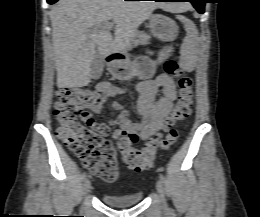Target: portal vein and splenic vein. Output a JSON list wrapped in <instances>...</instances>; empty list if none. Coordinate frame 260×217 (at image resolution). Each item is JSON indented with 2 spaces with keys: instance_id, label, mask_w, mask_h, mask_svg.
I'll return each instance as SVG.
<instances>
[{
  "instance_id": "1",
  "label": "portal vein and splenic vein",
  "mask_w": 260,
  "mask_h": 217,
  "mask_svg": "<svg viewBox=\"0 0 260 217\" xmlns=\"http://www.w3.org/2000/svg\"><path fill=\"white\" fill-rule=\"evenodd\" d=\"M113 26H114L113 23L107 22V23L103 24L100 28L103 29V30L104 29H111ZM93 30L95 31L97 29H93Z\"/></svg>"
}]
</instances>
